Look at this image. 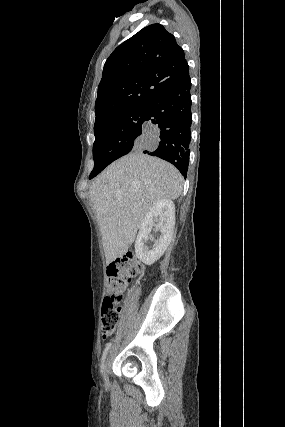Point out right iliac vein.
Wrapping results in <instances>:
<instances>
[{
    "instance_id": "63e3f726",
    "label": "right iliac vein",
    "mask_w": 285,
    "mask_h": 427,
    "mask_svg": "<svg viewBox=\"0 0 285 427\" xmlns=\"http://www.w3.org/2000/svg\"><path fill=\"white\" fill-rule=\"evenodd\" d=\"M103 380H104V382H107V364L104 365Z\"/></svg>"
}]
</instances>
